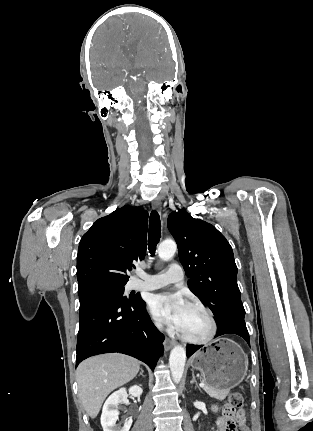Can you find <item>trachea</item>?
I'll use <instances>...</instances> for the list:
<instances>
[{
  "instance_id": "3493384b",
  "label": "trachea",
  "mask_w": 313,
  "mask_h": 431,
  "mask_svg": "<svg viewBox=\"0 0 313 431\" xmlns=\"http://www.w3.org/2000/svg\"><path fill=\"white\" fill-rule=\"evenodd\" d=\"M161 237V223L157 211H152L149 220V234H148V249L150 254H155L156 246Z\"/></svg>"
}]
</instances>
